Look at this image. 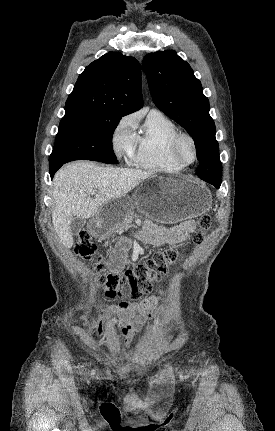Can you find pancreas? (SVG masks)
<instances>
[{"label": "pancreas", "instance_id": "1", "mask_svg": "<svg viewBox=\"0 0 275 431\" xmlns=\"http://www.w3.org/2000/svg\"><path fill=\"white\" fill-rule=\"evenodd\" d=\"M132 214L133 213L131 211L130 213H128V214L125 215V217L123 218L120 226L118 227V230H124V229H126V228H128L130 226V224L132 222V218H133Z\"/></svg>", "mask_w": 275, "mask_h": 431}]
</instances>
